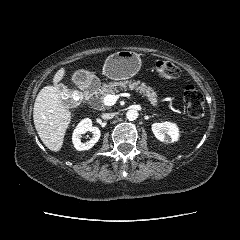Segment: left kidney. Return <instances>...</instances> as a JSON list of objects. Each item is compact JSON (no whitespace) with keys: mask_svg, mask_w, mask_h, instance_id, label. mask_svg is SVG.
<instances>
[{"mask_svg":"<svg viewBox=\"0 0 240 240\" xmlns=\"http://www.w3.org/2000/svg\"><path fill=\"white\" fill-rule=\"evenodd\" d=\"M152 131L161 142L173 143L179 138V129L176 124L170 122L154 123Z\"/></svg>","mask_w":240,"mask_h":240,"instance_id":"1","label":"left kidney"}]
</instances>
